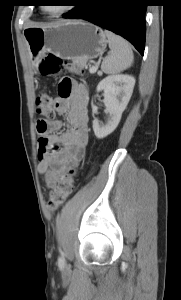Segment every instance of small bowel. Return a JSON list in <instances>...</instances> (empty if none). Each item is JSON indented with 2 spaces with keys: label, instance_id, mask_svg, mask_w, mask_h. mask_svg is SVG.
Masks as SVG:
<instances>
[{
  "label": "small bowel",
  "instance_id": "c3829d8e",
  "mask_svg": "<svg viewBox=\"0 0 181 300\" xmlns=\"http://www.w3.org/2000/svg\"><path fill=\"white\" fill-rule=\"evenodd\" d=\"M88 92L84 85L64 77L59 81L54 109L65 115L69 130L60 133L63 122L48 121L46 135L38 140V170L49 188H54L60 177L76 168L83 159L89 140Z\"/></svg>",
  "mask_w": 181,
  "mask_h": 300
}]
</instances>
